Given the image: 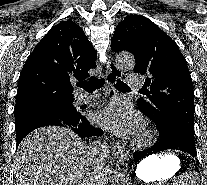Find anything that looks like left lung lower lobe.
Returning <instances> with one entry per match:
<instances>
[{"label":"left lung lower lobe","instance_id":"0a47b994","mask_svg":"<svg viewBox=\"0 0 207 185\" xmlns=\"http://www.w3.org/2000/svg\"><path fill=\"white\" fill-rule=\"evenodd\" d=\"M168 149L181 150L194 157L197 156L194 138L180 126L170 125L159 131L157 143L145 150L136 151L134 153V161L138 162L151 154Z\"/></svg>","mask_w":207,"mask_h":185}]
</instances>
